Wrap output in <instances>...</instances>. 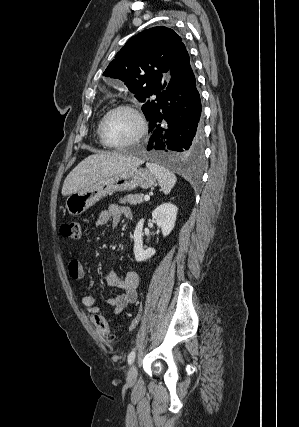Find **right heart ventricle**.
I'll use <instances>...</instances> for the list:
<instances>
[{
  "mask_svg": "<svg viewBox=\"0 0 299 427\" xmlns=\"http://www.w3.org/2000/svg\"><path fill=\"white\" fill-rule=\"evenodd\" d=\"M101 118H102V116H101ZM101 118L99 119V122L97 123V128H96V132H97V134H98V126H99V123H100Z\"/></svg>",
  "mask_w": 299,
  "mask_h": 427,
  "instance_id": "1",
  "label": "right heart ventricle"
}]
</instances>
